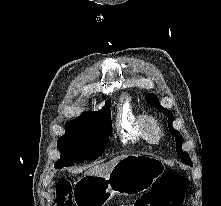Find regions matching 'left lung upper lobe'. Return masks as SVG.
<instances>
[{
    "instance_id": "5c2ea615",
    "label": "left lung upper lobe",
    "mask_w": 221,
    "mask_h": 206,
    "mask_svg": "<svg viewBox=\"0 0 221 206\" xmlns=\"http://www.w3.org/2000/svg\"><path fill=\"white\" fill-rule=\"evenodd\" d=\"M147 99L151 102V105L153 107H155L156 109L160 110L161 112H163L168 120H169V130L171 132L172 135L175 136V139H176V151L178 153L179 156H181V159H182V162L184 164H187V165H190V166H193L192 164V161L190 160L188 154L186 152H184L181 148V145H182V136L181 134L176 131L173 126H172V122H173V114L171 111L165 109L164 107H162L158 101V98L157 96H155L154 94H148L147 96Z\"/></svg>"
}]
</instances>
